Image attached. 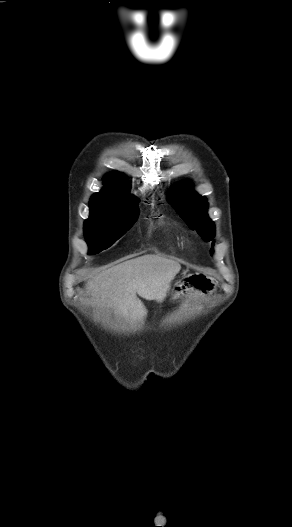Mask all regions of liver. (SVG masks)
Listing matches in <instances>:
<instances>
[{"mask_svg": "<svg viewBox=\"0 0 292 527\" xmlns=\"http://www.w3.org/2000/svg\"><path fill=\"white\" fill-rule=\"evenodd\" d=\"M180 269L175 260L146 254L98 273L85 290L93 306L113 309L134 323H143L147 310L138 296L163 302Z\"/></svg>", "mask_w": 292, "mask_h": 527, "instance_id": "obj_1", "label": "liver"}]
</instances>
